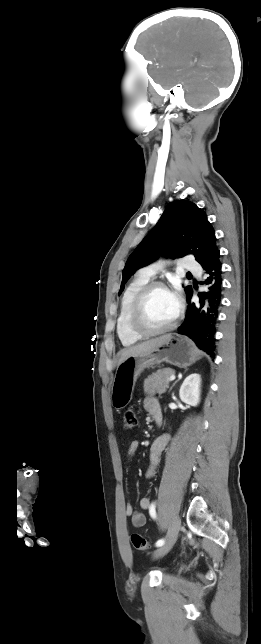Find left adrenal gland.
Listing matches in <instances>:
<instances>
[{
    "mask_svg": "<svg viewBox=\"0 0 261 644\" xmlns=\"http://www.w3.org/2000/svg\"><path fill=\"white\" fill-rule=\"evenodd\" d=\"M178 381H179V379H178V380H176V381L172 384V386L170 387V390H169V391H171V390H172V388L175 386V384H176Z\"/></svg>",
    "mask_w": 261,
    "mask_h": 644,
    "instance_id": "1",
    "label": "left adrenal gland"
}]
</instances>
